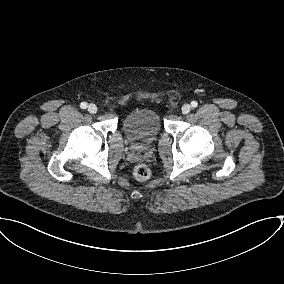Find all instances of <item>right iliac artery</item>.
I'll return each instance as SVG.
<instances>
[{"label":"right iliac artery","mask_w":284,"mask_h":284,"mask_svg":"<svg viewBox=\"0 0 284 284\" xmlns=\"http://www.w3.org/2000/svg\"><path fill=\"white\" fill-rule=\"evenodd\" d=\"M80 107H81L82 109H86V108H87V103H86V102H82V103L80 104Z\"/></svg>","instance_id":"obj_1"}]
</instances>
